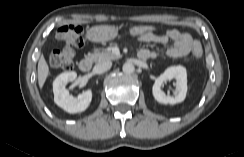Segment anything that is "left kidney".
<instances>
[{"instance_id": "left-kidney-1", "label": "left kidney", "mask_w": 244, "mask_h": 157, "mask_svg": "<svg viewBox=\"0 0 244 157\" xmlns=\"http://www.w3.org/2000/svg\"><path fill=\"white\" fill-rule=\"evenodd\" d=\"M176 80V89L172 96L166 95L161 89L166 80ZM152 93L159 103L176 104L183 102L187 93V73L183 66H173L167 68L154 82Z\"/></svg>"}]
</instances>
